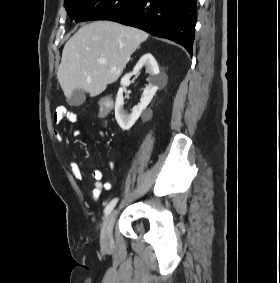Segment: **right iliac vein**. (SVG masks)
Returning <instances> with one entry per match:
<instances>
[{"label":"right iliac vein","mask_w":280,"mask_h":283,"mask_svg":"<svg viewBox=\"0 0 280 283\" xmlns=\"http://www.w3.org/2000/svg\"><path fill=\"white\" fill-rule=\"evenodd\" d=\"M117 210H113L106 218L101 231V245L105 249L111 248L113 244L112 230L116 220Z\"/></svg>","instance_id":"obj_1"}]
</instances>
